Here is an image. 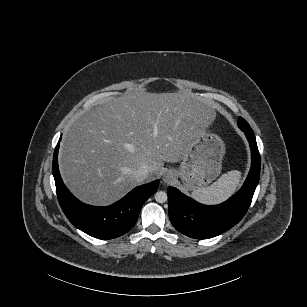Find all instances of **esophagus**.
Instances as JSON below:
<instances>
[{"label": "esophagus", "mask_w": 307, "mask_h": 307, "mask_svg": "<svg viewBox=\"0 0 307 307\" xmlns=\"http://www.w3.org/2000/svg\"><path fill=\"white\" fill-rule=\"evenodd\" d=\"M173 177H175L174 171L169 170L163 177L164 183H170Z\"/></svg>", "instance_id": "esophagus-1"}]
</instances>
